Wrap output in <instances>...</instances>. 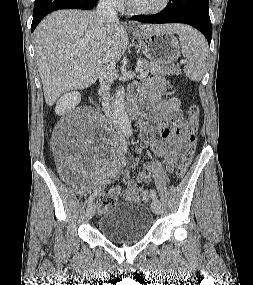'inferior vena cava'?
<instances>
[{
  "label": "inferior vena cava",
  "instance_id": "602c4592",
  "mask_svg": "<svg viewBox=\"0 0 253 285\" xmlns=\"http://www.w3.org/2000/svg\"><path fill=\"white\" fill-rule=\"evenodd\" d=\"M95 14L98 20L104 21L108 24L119 22L113 0H99ZM115 75L116 61L110 58L108 55H105L100 63L98 78L100 83V92L103 96V111L110 119L114 116V104L110 96V88L114 81Z\"/></svg>",
  "mask_w": 253,
  "mask_h": 285
}]
</instances>
